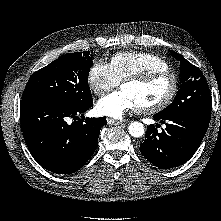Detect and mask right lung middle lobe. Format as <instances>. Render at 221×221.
<instances>
[{
    "mask_svg": "<svg viewBox=\"0 0 221 221\" xmlns=\"http://www.w3.org/2000/svg\"><path fill=\"white\" fill-rule=\"evenodd\" d=\"M91 65L88 51L59 57L30 77L22 100L43 98L78 107L89 105L93 102L88 85Z\"/></svg>",
    "mask_w": 221,
    "mask_h": 221,
    "instance_id": "right-lung-middle-lobe-1",
    "label": "right lung middle lobe"
}]
</instances>
